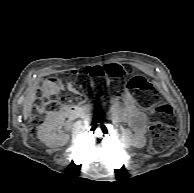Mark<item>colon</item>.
<instances>
[{"label":"colon","instance_id":"colon-1","mask_svg":"<svg viewBox=\"0 0 194 193\" xmlns=\"http://www.w3.org/2000/svg\"><path fill=\"white\" fill-rule=\"evenodd\" d=\"M132 72L128 65L106 64L84 68L81 73L96 82L103 78H111L117 85ZM76 71L63 74L60 77L48 76L44 78L38 89L36 111L30 122V129L34 133L44 122L46 116L58 109L60 104H66L71 99L74 76ZM128 89L137 95L143 106L150 109L155 121L151 127L152 151H161L175 141L176 127L171 123L172 109L169 105L161 103V96L156 87L142 76H133L127 83Z\"/></svg>","mask_w":194,"mask_h":193}]
</instances>
